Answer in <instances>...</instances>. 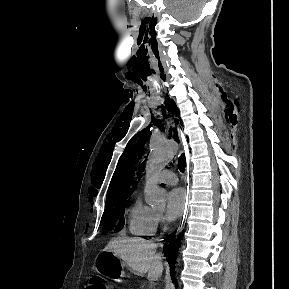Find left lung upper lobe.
I'll return each mask as SVG.
<instances>
[{"mask_svg": "<svg viewBox=\"0 0 289 289\" xmlns=\"http://www.w3.org/2000/svg\"><path fill=\"white\" fill-rule=\"evenodd\" d=\"M138 145V144H137ZM130 158L131 156H127L126 153H124L121 157V165H120V170L122 171L125 166L129 165V161H130ZM132 164V163H131ZM133 165V164H132ZM132 172H134V168H130ZM120 173V172H119ZM118 174V172H117ZM121 180H119L120 182ZM119 184V187H120V183ZM132 184H136L135 182H133ZM123 194L120 195V197L118 198L117 200V203H116V208H114V211H115V217H116V214H118V211H119V207L126 201V198H128L130 196V194L132 193V191L134 190L135 186L133 188L130 187V183L127 182L125 184V186H123ZM120 191L119 189H116V191L113 190V185L110 187L108 193H107V205H111L113 206V204L115 203V200H116V197L115 195L116 194H119ZM125 198V199H124Z\"/></svg>", "mask_w": 289, "mask_h": 289, "instance_id": "obj_1", "label": "left lung upper lobe"}]
</instances>
